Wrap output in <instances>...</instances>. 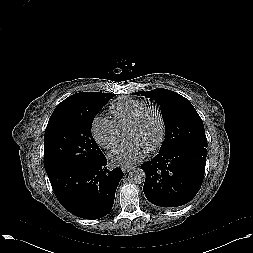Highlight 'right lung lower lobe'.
I'll return each mask as SVG.
<instances>
[{"label": "right lung lower lobe", "mask_w": 253, "mask_h": 253, "mask_svg": "<svg viewBox=\"0 0 253 253\" xmlns=\"http://www.w3.org/2000/svg\"><path fill=\"white\" fill-rule=\"evenodd\" d=\"M101 155L47 173L55 196L70 213L84 219H99L110 213L115 192L123 177L121 168L109 170Z\"/></svg>", "instance_id": "right-lung-lower-lobe-1"}]
</instances>
